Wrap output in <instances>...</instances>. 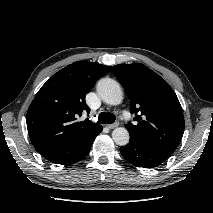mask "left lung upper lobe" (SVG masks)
<instances>
[{
    "mask_svg": "<svg viewBox=\"0 0 213 213\" xmlns=\"http://www.w3.org/2000/svg\"><path fill=\"white\" fill-rule=\"evenodd\" d=\"M112 70L136 115L135 124L125 125L130 136L151 148L173 153L184 133V116L173 89L142 64H118Z\"/></svg>",
    "mask_w": 213,
    "mask_h": 213,
    "instance_id": "5c2ea615",
    "label": "left lung upper lobe"
}]
</instances>
